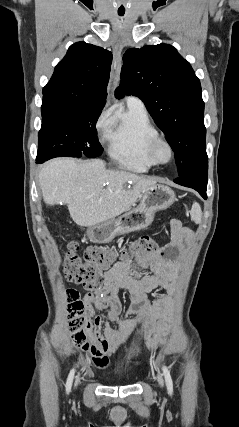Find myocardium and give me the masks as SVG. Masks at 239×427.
Segmentation results:
<instances>
[{
  "instance_id": "f54148a6",
  "label": "myocardium",
  "mask_w": 239,
  "mask_h": 427,
  "mask_svg": "<svg viewBox=\"0 0 239 427\" xmlns=\"http://www.w3.org/2000/svg\"><path fill=\"white\" fill-rule=\"evenodd\" d=\"M159 145H165L168 149V158L164 161L158 159L156 155V150ZM147 153L149 159L154 165H166L170 163L174 157V148L172 143L166 137L158 134L150 140Z\"/></svg>"
}]
</instances>
